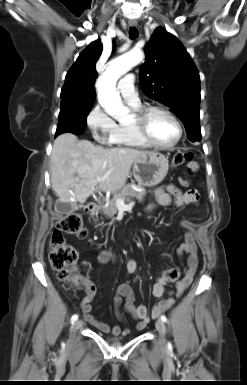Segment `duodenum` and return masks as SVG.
<instances>
[{"label":"duodenum","instance_id":"obj_1","mask_svg":"<svg viewBox=\"0 0 247 385\" xmlns=\"http://www.w3.org/2000/svg\"><path fill=\"white\" fill-rule=\"evenodd\" d=\"M100 206L97 203L91 202L86 207V213L91 217H96L99 214Z\"/></svg>","mask_w":247,"mask_h":385}]
</instances>
